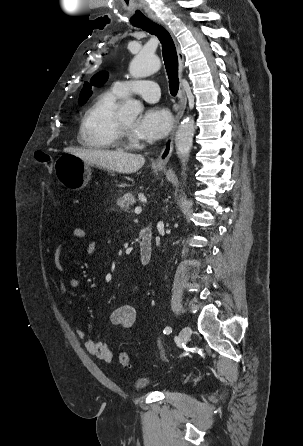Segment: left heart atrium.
Listing matches in <instances>:
<instances>
[{"instance_id": "left-heart-atrium-1", "label": "left heart atrium", "mask_w": 303, "mask_h": 446, "mask_svg": "<svg viewBox=\"0 0 303 446\" xmlns=\"http://www.w3.org/2000/svg\"><path fill=\"white\" fill-rule=\"evenodd\" d=\"M171 125L172 116L167 109L151 107L135 123L133 131L141 139L159 140L168 134Z\"/></svg>"}]
</instances>
